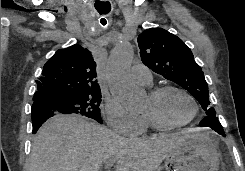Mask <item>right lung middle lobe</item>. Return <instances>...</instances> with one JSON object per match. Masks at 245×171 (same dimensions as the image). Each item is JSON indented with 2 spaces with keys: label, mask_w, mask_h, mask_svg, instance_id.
Instances as JSON below:
<instances>
[{
  "label": "right lung middle lobe",
  "mask_w": 245,
  "mask_h": 171,
  "mask_svg": "<svg viewBox=\"0 0 245 171\" xmlns=\"http://www.w3.org/2000/svg\"><path fill=\"white\" fill-rule=\"evenodd\" d=\"M44 101L63 114L77 113L103 123L99 108L101 93L53 95L46 97Z\"/></svg>",
  "instance_id": "dd1d6c3e"
}]
</instances>
